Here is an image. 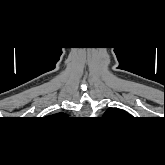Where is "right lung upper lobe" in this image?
I'll return each instance as SVG.
<instances>
[{"label": "right lung upper lobe", "instance_id": "cb5924a9", "mask_svg": "<svg viewBox=\"0 0 165 165\" xmlns=\"http://www.w3.org/2000/svg\"><path fill=\"white\" fill-rule=\"evenodd\" d=\"M59 116H62V113H57L54 115V117H59Z\"/></svg>", "mask_w": 165, "mask_h": 165}]
</instances>
